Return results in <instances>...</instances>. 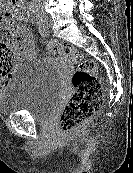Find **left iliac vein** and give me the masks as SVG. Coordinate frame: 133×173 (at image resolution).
Returning a JSON list of instances; mask_svg holds the SVG:
<instances>
[{
	"instance_id": "1",
	"label": "left iliac vein",
	"mask_w": 133,
	"mask_h": 173,
	"mask_svg": "<svg viewBox=\"0 0 133 173\" xmlns=\"http://www.w3.org/2000/svg\"><path fill=\"white\" fill-rule=\"evenodd\" d=\"M42 16L44 18V26H45V28L48 29L49 26H50L49 19L46 16H44V15H42Z\"/></svg>"
}]
</instances>
